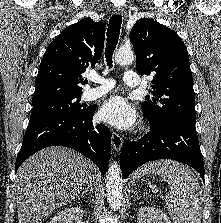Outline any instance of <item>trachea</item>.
Segmentation results:
<instances>
[{"label":"trachea","mask_w":221,"mask_h":223,"mask_svg":"<svg viewBox=\"0 0 221 223\" xmlns=\"http://www.w3.org/2000/svg\"><path fill=\"white\" fill-rule=\"evenodd\" d=\"M121 23L122 17L120 15H113L109 20L105 50V57L109 68L112 67V55L118 43Z\"/></svg>","instance_id":"3493384b"}]
</instances>
